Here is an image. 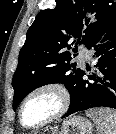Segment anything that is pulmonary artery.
<instances>
[{
  "label": "pulmonary artery",
  "mask_w": 116,
  "mask_h": 134,
  "mask_svg": "<svg viewBox=\"0 0 116 134\" xmlns=\"http://www.w3.org/2000/svg\"><path fill=\"white\" fill-rule=\"evenodd\" d=\"M91 51L87 48H81L79 51L78 59L79 60H84V59H90L91 58Z\"/></svg>",
  "instance_id": "e3ab8cb5"
}]
</instances>
